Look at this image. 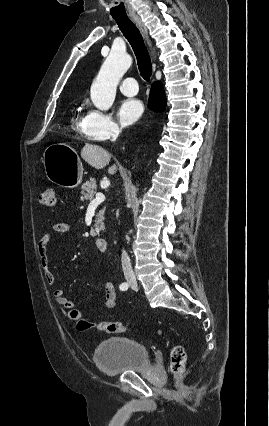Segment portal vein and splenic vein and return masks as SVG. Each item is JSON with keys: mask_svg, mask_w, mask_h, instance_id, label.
<instances>
[{"mask_svg": "<svg viewBox=\"0 0 269 426\" xmlns=\"http://www.w3.org/2000/svg\"><path fill=\"white\" fill-rule=\"evenodd\" d=\"M105 200V195L102 193H97L95 199L91 200L90 204H99Z\"/></svg>", "mask_w": 269, "mask_h": 426, "instance_id": "portal-vein-and-splenic-vein-1", "label": "portal vein and splenic vein"}]
</instances>
